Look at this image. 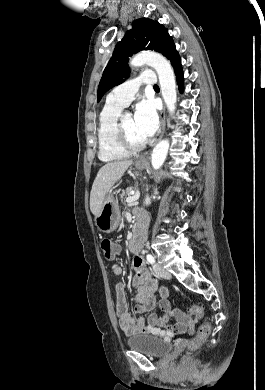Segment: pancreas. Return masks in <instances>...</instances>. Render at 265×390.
I'll return each mask as SVG.
<instances>
[{"label":"pancreas","instance_id":"cf45deb5","mask_svg":"<svg viewBox=\"0 0 265 390\" xmlns=\"http://www.w3.org/2000/svg\"><path fill=\"white\" fill-rule=\"evenodd\" d=\"M131 192V188H128L125 192L121 194V200L123 201L124 196L129 195Z\"/></svg>","mask_w":265,"mask_h":390}]
</instances>
